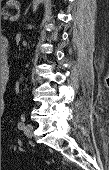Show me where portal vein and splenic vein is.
Instances as JSON below:
<instances>
[{
    "label": "portal vein and splenic vein",
    "instance_id": "18ae733b",
    "mask_svg": "<svg viewBox=\"0 0 109 170\" xmlns=\"http://www.w3.org/2000/svg\"><path fill=\"white\" fill-rule=\"evenodd\" d=\"M7 19H9L10 21H16L18 19V15L12 16V17H9V16L5 17V20Z\"/></svg>",
    "mask_w": 109,
    "mask_h": 170
}]
</instances>
